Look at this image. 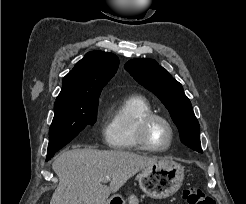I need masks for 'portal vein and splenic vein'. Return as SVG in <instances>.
I'll use <instances>...</instances> for the list:
<instances>
[{
    "instance_id": "1",
    "label": "portal vein and splenic vein",
    "mask_w": 246,
    "mask_h": 204,
    "mask_svg": "<svg viewBox=\"0 0 246 204\" xmlns=\"http://www.w3.org/2000/svg\"><path fill=\"white\" fill-rule=\"evenodd\" d=\"M109 181H110V178H108V177H106V178L103 179V182H104V183H107V182H109Z\"/></svg>"
}]
</instances>
